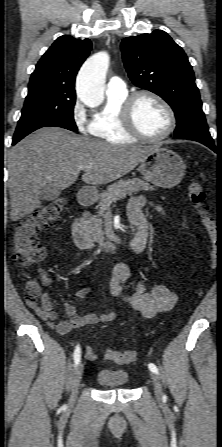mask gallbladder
Segmentation results:
<instances>
[{
  "label": "gallbladder",
  "mask_w": 222,
  "mask_h": 447,
  "mask_svg": "<svg viewBox=\"0 0 222 447\" xmlns=\"http://www.w3.org/2000/svg\"><path fill=\"white\" fill-rule=\"evenodd\" d=\"M60 194V189H57L54 186L48 184L41 189L40 198L43 201H52L58 198Z\"/></svg>",
  "instance_id": "1"
}]
</instances>
